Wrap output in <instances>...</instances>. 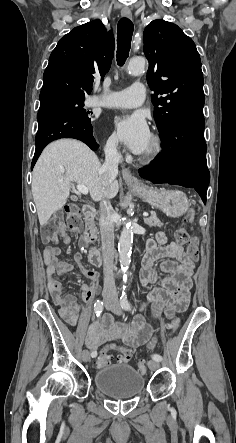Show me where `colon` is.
Wrapping results in <instances>:
<instances>
[{
    "label": "colon",
    "mask_w": 236,
    "mask_h": 443,
    "mask_svg": "<svg viewBox=\"0 0 236 443\" xmlns=\"http://www.w3.org/2000/svg\"><path fill=\"white\" fill-rule=\"evenodd\" d=\"M194 212L191 210L184 218L186 223L193 221ZM65 226L73 233L80 231L82 227V213L81 209L77 205H68L65 210L64 220L61 218H55L46 224L42 229V240L45 243H55L60 238L65 236ZM175 241L179 245H187V254L192 261H197L199 258L198 239L191 236L187 229L183 226L179 227L175 231ZM168 328L174 335L179 329V320L174 319L168 324ZM132 357L131 349L127 347H120L116 354H111L108 349L101 351L95 361V366L98 368L110 365L113 362L127 363ZM145 361L138 363V370L141 373H146Z\"/></svg>",
    "instance_id": "1"
}]
</instances>
